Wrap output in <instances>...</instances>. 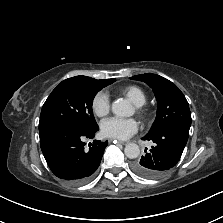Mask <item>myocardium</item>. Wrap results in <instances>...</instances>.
I'll return each mask as SVG.
<instances>
[{"label":"myocardium","instance_id":"f54148a6","mask_svg":"<svg viewBox=\"0 0 223 223\" xmlns=\"http://www.w3.org/2000/svg\"><path fill=\"white\" fill-rule=\"evenodd\" d=\"M136 113L143 119H147L150 115V110L147 106L143 105H136L135 107Z\"/></svg>","mask_w":223,"mask_h":223}]
</instances>
